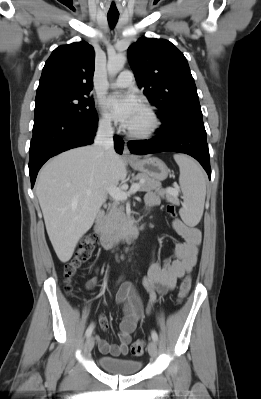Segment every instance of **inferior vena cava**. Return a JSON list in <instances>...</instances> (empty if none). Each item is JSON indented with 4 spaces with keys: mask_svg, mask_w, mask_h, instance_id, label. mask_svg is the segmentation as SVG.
<instances>
[{
    "mask_svg": "<svg viewBox=\"0 0 261 399\" xmlns=\"http://www.w3.org/2000/svg\"><path fill=\"white\" fill-rule=\"evenodd\" d=\"M113 133L110 121L101 122L97 129L94 145L101 148L106 154H112L114 152Z\"/></svg>",
    "mask_w": 261,
    "mask_h": 399,
    "instance_id": "inferior-vena-cava-1",
    "label": "inferior vena cava"
}]
</instances>
